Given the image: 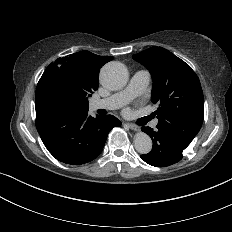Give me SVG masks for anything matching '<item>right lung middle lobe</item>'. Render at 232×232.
Wrapping results in <instances>:
<instances>
[{
  "instance_id": "obj_1",
  "label": "right lung middle lobe",
  "mask_w": 232,
  "mask_h": 232,
  "mask_svg": "<svg viewBox=\"0 0 232 232\" xmlns=\"http://www.w3.org/2000/svg\"><path fill=\"white\" fill-rule=\"evenodd\" d=\"M36 93L42 99L57 101L73 109L87 110L88 97L93 90L50 64L38 82Z\"/></svg>"
}]
</instances>
